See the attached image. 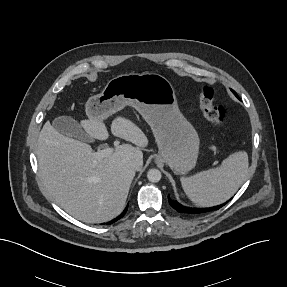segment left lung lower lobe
Returning a JSON list of instances; mask_svg holds the SVG:
<instances>
[{
  "mask_svg": "<svg viewBox=\"0 0 287 287\" xmlns=\"http://www.w3.org/2000/svg\"><path fill=\"white\" fill-rule=\"evenodd\" d=\"M168 200H169V204L171 205V207H173L176 211H178L179 213L188 214V215L204 214L210 211L218 210L219 208L225 205L224 203L222 205H218V206L211 207V208H192V207L184 206L177 201L171 200L169 196H168Z\"/></svg>",
  "mask_w": 287,
  "mask_h": 287,
  "instance_id": "obj_1",
  "label": "left lung lower lobe"
}]
</instances>
